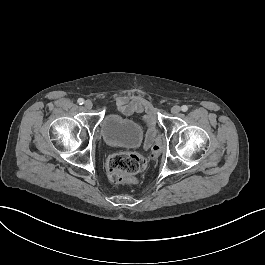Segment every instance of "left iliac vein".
Masks as SVG:
<instances>
[{
    "instance_id": "4c4485c4",
    "label": "left iliac vein",
    "mask_w": 265,
    "mask_h": 265,
    "mask_svg": "<svg viewBox=\"0 0 265 265\" xmlns=\"http://www.w3.org/2000/svg\"><path fill=\"white\" fill-rule=\"evenodd\" d=\"M180 107L177 106V105H174L172 108H171V113L172 114H178L180 112Z\"/></svg>"
}]
</instances>
